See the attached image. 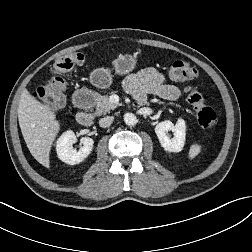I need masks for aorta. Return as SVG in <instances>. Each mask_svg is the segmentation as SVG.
<instances>
[{"instance_id": "762f6f07", "label": "aorta", "mask_w": 252, "mask_h": 252, "mask_svg": "<svg viewBox=\"0 0 252 252\" xmlns=\"http://www.w3.org/2000/svg\"><path fill=\"white\" fill-rule=\"evenodd\" d=\"M124 121L129 126H133L137 123L136 116L132 113H126L124 115Z\"/></svg>"}]
</instances>
